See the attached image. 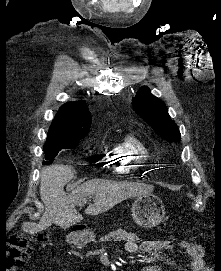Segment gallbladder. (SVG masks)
I'll return each instance as SVG.
<instances>
[{"instance_id":"obj_1","label":"gallbladder","mask_w":221,"mask_h":271,"mask_svg":"<svg viewBox=\"0 0 221 271\" xmlns=\"http://www.w3.org/2000/svg\"><path fill=\"white\" fill-rule=\"evenodd\" d=\"M50 233H51V231H50V229L48 227V229H47V235H50Z\"/></svg>"}]
</instances>
